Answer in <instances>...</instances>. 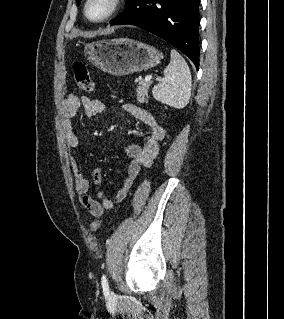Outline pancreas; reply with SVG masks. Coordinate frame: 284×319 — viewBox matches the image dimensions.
Masks as SVG:
<instances>
[{
  "label": "pancreas",
  "mask_w": 284,
  "mask_h": 319,
  "mask_svg": "<svg viewBox=\"0 0 284 319\" xmlns=\"http://www.w3.org/2000/svg\"><path fill=\"white\" fill-rule=\"evenodd\" d=\"M150 82L141 80L139 86L136 89V97L139 103L148 102V90L150 87Z\"/></svg>",
  "instance_id": "1"
}]
</instances>
